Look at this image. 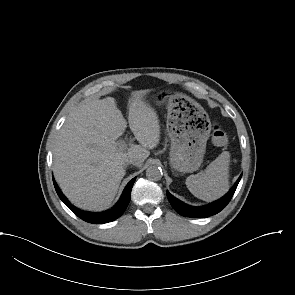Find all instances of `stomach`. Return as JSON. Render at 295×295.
Wrapping results in <instances>:
<instances>
[{"instance_id": "stomach-1", "label": "stomach", "mask_w": 295, "mask_h": 295, "mask_svg": "<svg viewBox=\"0 0 295 295\" xmlns=\"http://www.w3.org/2000/svg\"><path fill=\"white\" fill-rule=\"evenodd\" d=\"M155 102L157 105L166 104L167 108L171 167L183 173L198 170L211 131L208 114L194 99L178 92L160 91Z\"/></svg>"}]
</instances>
